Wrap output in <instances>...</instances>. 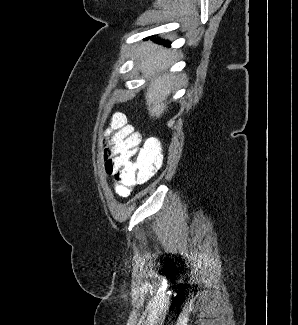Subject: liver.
<instances>
[{
  "mask_svg": "<svg viewBox=\"0 0 298 325\" xmlns=\"http://www.w3.org/2000/svg\"><path fill=\"white\" fill-rule=\"evenodd\" d=\"M136 56L139 60V68L145 70L149 74L150 84L144 92L147 104L148 114L151 118H160L164 112H167L169 102H165L171 90H173L174 78L171 72L162 74L172 62L175 54L174 50L164 48L160 44L154 42H145L139 46Z\"/></svg>",
  "mask_w": 298,
  "mask_h": 325,
  "instance_id": "6515ba94",
  "label": "liver"
}]
</instances>
